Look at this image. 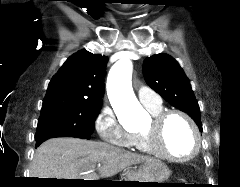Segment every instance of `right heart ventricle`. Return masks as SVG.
<instances>
[{
    "instance_id": "e07e8e85",
    "label": "right heart ventricle",
    "mask_w": 240,
    "mask_h": 187,
    "mask_svg": "<svg viewBox=\"0 0 240 187\" xmlns=\"http://www.w3.org/2000/svg\"><path fill=\"white\" fill-rule=\"evenodd\" d=\"M152 115H156L162 111V107L158 108H147ZM132 146L139 152L145 154H152L147 146L145 138L141 133L132 135Z\"/></svg>"
}]
</instances>
